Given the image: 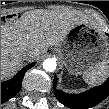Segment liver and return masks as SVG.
<instances>
[{
    "mask_svg": "<svg viewBox=\"0 0 109 109\" xmlns=\"http://www.w3.org/2000/svg\"><path fill=\"white\" fill-rule=\"evenodd\" d=\"M80 23L97 24L86 14L75 10H33L19 20L1 26V77H12L25 61L23 52L31 51L33 59L56 46Z\"/></svg>",
    "mask_w": 109,
    "mask_h": 109,
    "instance_id": "1",
    "label": "liver"
}]
</instances>
